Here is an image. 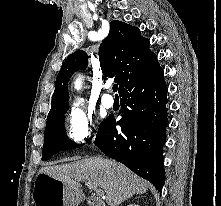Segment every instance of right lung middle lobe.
Masks as SVG:
<instances>
[{"instance_id": "1", "label": "right lung middle lobe", "mask_w": 221, "mask_h": 206, "mask_svg": "<svg viewBox=\"0 0 221 206\" xmlns=\"http://www.w3.org/2000/svg\"><path fill=\"white\" fill-rule=\"evenodd\" d=\"M67 109L68 107H61L48 114L44 135L42 160L49 159L59 151L74 149L83 145L72 142L65 133L64 114L67 112ZM90 140L91 138L88 139L87 142Z\"/></svg>"}]
</instances>
